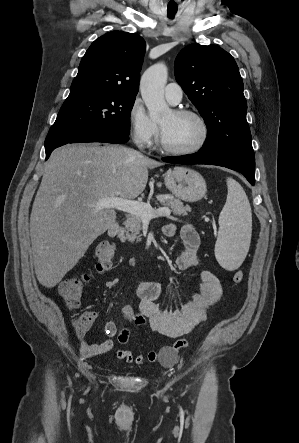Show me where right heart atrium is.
<instances>
[{"label":"right heart atrium","instance_id":"d8ad5b80","mask_svg":"<svg viewBox=\"0 0 299 443\" xmlns=\"http://www.w3.org/2000/svg\"><path fill=\"white\" fill-rule=\"evenodd\" d=\"M128 124L131 137L139 147H149L158 135V128L140 99H135L130 105Z\"/></svg>","mask_w":299,"mask_h":443}]
</instances>
